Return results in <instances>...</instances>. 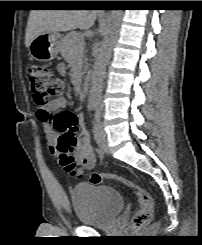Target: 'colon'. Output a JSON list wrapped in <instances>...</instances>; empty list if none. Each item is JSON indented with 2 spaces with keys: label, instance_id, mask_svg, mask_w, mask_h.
Wrapping results in <instances>:
<instances>
[{
  "label": "colon",
  "instance_id": "colon-1",
  "mask_svg": "<svg viewBox=\"0 0 202 245\" xmlns=\"http://www.w3.org/2000/svg\"><path fill=\"white\" fill-rule=\"evenodd\" d=\"M62 74L63 70L60 66L52 68L38 63L29 64L26 70L34 94L37 113L50 125L51 129L59 133L55 149L58 163L65 172L79 177L81 172L71 153L78 140L76 132L81 126V120L69 111H61L55 114L49 112L51 99L61 93ZM89 180L92 184L97 185L104 181L117 180L134 191L139 207L132 217V227L134 234L139 235L141 227L148 223L153 216L154 203L149 192L130 179L112 173H92Z\"/></svg>",
  "mask_w": 202,
  "mask_h": 245
}]
</instances>
